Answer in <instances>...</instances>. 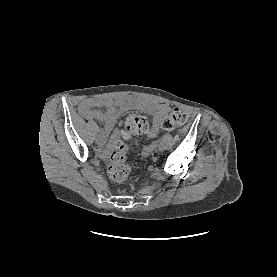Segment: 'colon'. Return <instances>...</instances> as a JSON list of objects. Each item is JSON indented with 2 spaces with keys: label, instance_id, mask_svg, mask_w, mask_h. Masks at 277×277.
I'll use <instances>...</instances> for the list:
<instances>
[{
  "label": "colon",
  "instance_id": "obj_1",
  "mask_svg": "<svg viewBox=\"0 0 277 277\" xmlns=\"http://www.w3.org/2000/svg\"><path fill=\"white\" fill-rule=\"evenodd\" d=\"M187 115L176 108L161 122V127L171 130L185 124ZM150 131L149 120L142 115L132 114L123 121V130L120 137L113 140V151L110 155L108 173L111 180L118 184L126 183L131 174L128 164V140L134 134H146Z\"/></svg>",
  "mask_w": 277,
  "mask_h": 277
}]
</instances>
